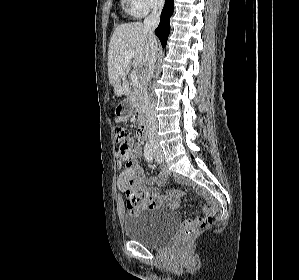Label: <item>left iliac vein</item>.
Segmentation results:
<instances>
[{"label":"left iliac vein","mask_w":299,"mask_h":280,"mask_svg":"<svg viewBox=\"0 0 299 280\" xmlns=\"http://www.w3.org/2000/svg\"><path fill=\"white\" fill-rule=\"evenodd\" d=\"M154 155H155V161L157 163H162L164 161V155H163L161 149L156 148L154 151Z\"/></svg>","instance_id":"left-iliac-vein-1"}]
</instances>
